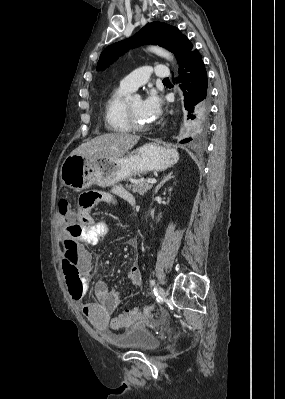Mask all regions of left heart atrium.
Wrapping results in <instances>:
<instances>
[{
    "label": "left heart atrium",
    "mask_w": 285,
    "mask_h": 399,
    "mask_svg": "<svg viewBox=\"0 0 285 399\" xmlns=\"http://www.w3.org/2000/svg\"><path fill=\"white\" fill-rule=\"evenodd\" d=\"M141 110L148 121H154L162 112V101L155 92H150L143 100Z\"/></svg>",
    "instance_id": "left-heart-atrium-1"
}]
</instances>
